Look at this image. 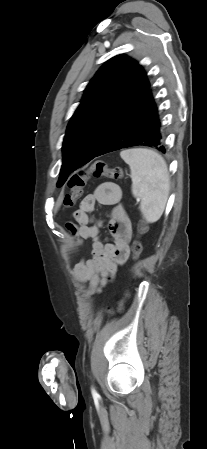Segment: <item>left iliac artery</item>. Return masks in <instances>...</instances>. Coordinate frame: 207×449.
<instances>
[{"label":"left iliac artery","instance_id":"44dca946","mask_svg":"<svg viewBox=\"0 0 207 449\" xmlns=\"http://www.w3.org/2000/svg\"><path fill=\"white\" fill-rule=\"evenodd\" d=\"M91 392H92V395L94 396V397H98V393H97V391L92 387V389H91Z\"/></svg>","mask_w":207,"mask_h":449}]
</instances>
